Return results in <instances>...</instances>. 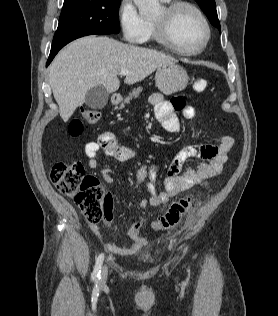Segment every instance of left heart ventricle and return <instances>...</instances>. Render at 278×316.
Returning a JSON list of instances; mask_svg holds the SVG:
<instances>
[{"label": "left heart ventricle", "instance_id": "1", "mask_svg": "<svg viewBox=\"0 0 278 316\" xmlns=\"http://www.w3.org/2000/svg\"><path fill=\"white\" fill-rule=\"evenodd\" d=\"M163 16V9L155 16ZM172 33L177 43L187 50L199 48L205 39V28L198 16L189 8L180 9L171 23Z\"/></svg>", "mask_w": 278, "mask_h": 316}]
</instances>
